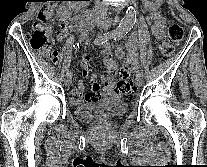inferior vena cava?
Wrapping results in <instances>:
<instances>
[{
	"label": "inferior vena cava",
	"mask_w": 207,
	"mask_h": 167,
	"mask_svg": "<svg viewBox=\"0 0 207 167\" xmlns=\"http://www.w3.org/2000/svg\"><path fill=\"white\" fill-rule=\"evenodd\" d=\"M96 9L98 13L102 15H106L108 7H107V4L103 2V3H98Z\"/></svg>",
	"instance_id": "602c4592"
}]
</instances>
